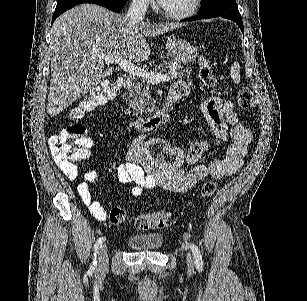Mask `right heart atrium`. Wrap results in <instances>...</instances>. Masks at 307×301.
Here are the masks:
<instances>
[{"mask_svg":"<svg viewBox=\"0 0 307 301\" xmlns=\"http://www.w3.org/2000/svg\"><path fill=\"white\" fill-rule=\"evenodd\" d=\"M139 5L140 7H150L151 1L150 0H140Z\"/></svg>","mask_w":307,"mask_h":301,"instance_id":"right-heart-atrium-1","label":"right heart atrium"}]
</instances>
